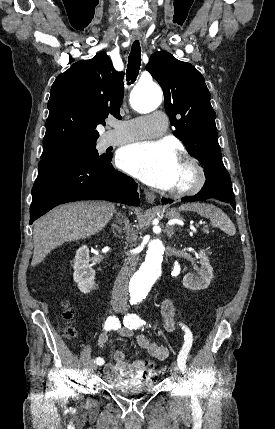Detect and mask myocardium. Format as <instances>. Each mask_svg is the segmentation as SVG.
<instances>
[{
    "label": "myocardium",
    "mask_w": 275,
    "mask_h": 429,
    "mask_svg": "<svg viewBox=\"0 0 275 429\" xmlns=\"http://www.w3.org/2000/svg\"><path fill=\"white\" fill-rule=\"evenodd\" d=\"M179 160L185 164L192 172L191 182L181 188H171L169 194L176 198H183L197 194L204 187L206 173L200 162L187 153H182Z\"/></svg>",
    "instance_id": "f54148a6"
}]
</instances>
